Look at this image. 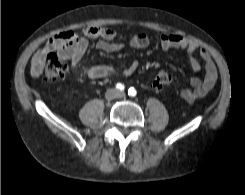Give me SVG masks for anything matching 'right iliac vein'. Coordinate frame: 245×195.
I'll use <instances>...</instances> for the list:
<instances>
[{"label": "right iliac vein", "mask_w": 245, "mask_h": 195, "mask_svg": "<svg viewBox=\"0 0 245 195\" xmlns=\"http://www.w3.org/2000/svg\"><path fill=\"white\" fill-rule=\"evenodd\" d=\"M118 96V92L115 89H109L105 93V98L108 100L114 99Z\"/></svg>", "instance_id": "1"}]
</instances>
